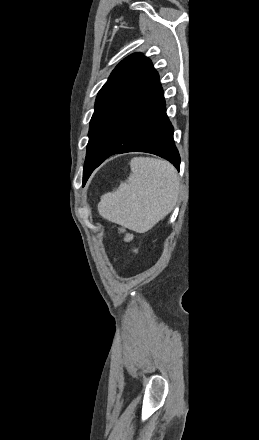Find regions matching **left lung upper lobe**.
<instances>
[{
  "label": "left lung upper lobe",
  "mask_w": 259,
  "mask_h": 440,
  "mask_svg": "<svg viewBox=\"0 0 259 440\" xmlns=\"http://www.w3.org/2000/svg\"><path fill=\"white\" fill-rule=\"evenodd\" d=\"M150 59L135 53L121 61L99 91L90 121L89 142L83 170L86 182L97 158L155 75Z\"/></svg>",
  "instance_id": "left-lung-upper-lobe-1"
}]
</instances>
